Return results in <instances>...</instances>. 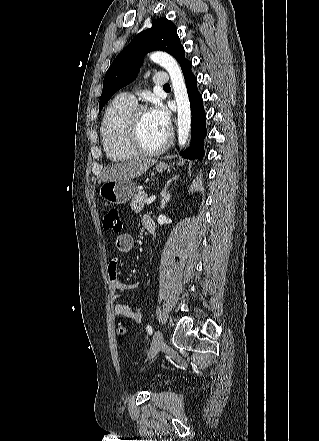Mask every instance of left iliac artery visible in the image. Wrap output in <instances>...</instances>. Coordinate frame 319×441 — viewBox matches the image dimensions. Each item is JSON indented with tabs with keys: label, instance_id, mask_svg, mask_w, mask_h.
I'll list each match as a JSON object with an SVG mask.
<instances>
[{
	"label": "left iliac artery",
	"instance_id": "44dca946",
	"mask_svg": "<svg viewBox=\"0 0 319 441\" xmlns=\"http://www.w3.org/2000/svg\"><path fill=\"white\" fill-rule=\"evenodd\" d=\"M146 330H147V332H148L149 335H151V334L153 333L152 326L149 325V324L146 326Z\"/></svg>",
	"mask_w": 319,
	"mask_h": 441
}]
</instances>
